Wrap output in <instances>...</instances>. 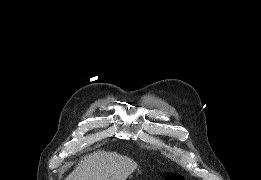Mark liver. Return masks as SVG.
<instances>
[{
	"mask_svg": "<svg viewBox=\"0 0 261 180\" xmlns=\"http://www.w3.org/2000/svg\"><path fill=\"white\" fill-rule=\"evenodd\" d=\"M136 162L116 152H95L83 156L65 180H126L135 172Z\"/></svg>",
	"mask_w": 261,
	"mask_h": 180,
	"instance_id": "6515ba94",
	"label": "liver"
}]
</instances>
